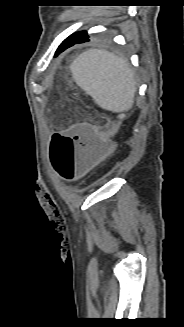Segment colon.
<instances>
[{
	"mask_svg": "<svg viewBox=\"0 0 184 327\" xmlns=\"http://www.w3.org/2000/svg\"><path fill=\"white\" fill-rule=\"evenodd\" d=\"M114 144L104 132L88 123H78L64 134H56L50 143V161L67 181H76L109 159Z\"/></svg>",
	"mask_w": 184,
	"mask_h": 327,
	"instance_id": "1",
	"label": "colon"
}]
</instances>
